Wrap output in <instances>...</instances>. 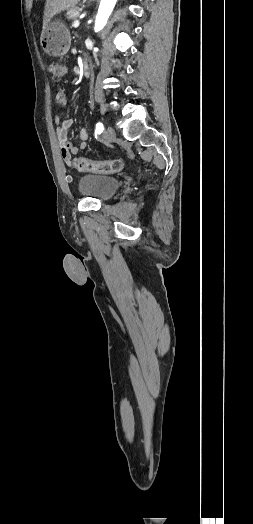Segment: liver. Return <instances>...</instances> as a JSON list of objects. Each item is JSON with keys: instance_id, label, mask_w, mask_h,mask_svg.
<instances>
[{"instance_id": "6515ba94", "label": "liver", "mask_w": 253, "mask_h": 524, "mask_svg": "<svg viewBox=\"0 0 253 524\" xmlns=\"http://www.w3.org/2000/svg\"><path fill=\"white\" fill-rule=\"evenodd\" d=\"M79 2L80 0H46L43 17V30L49 24L52 17L62 11L73 8Z\"/></svg>"}]
</instances>
